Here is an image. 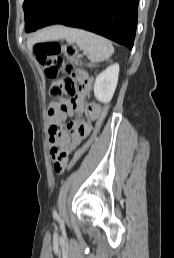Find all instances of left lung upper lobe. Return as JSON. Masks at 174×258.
<instances>
[{"mask_svg":"<svg viewBox=\"0 0 174 258\" xmlns=\"http://www.w3.org/2000/svg\"><path fill=\"white\" fill-rule=\"evenodd\" d=\"M61 0H25L23 10L25 14V30H37Z\"/></svg>","mask_w":174,"mask_h":258,"instance_id":"5c2ea615","label":"left lung upper lobe"}]
</instances>
